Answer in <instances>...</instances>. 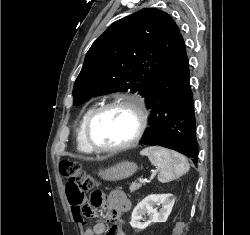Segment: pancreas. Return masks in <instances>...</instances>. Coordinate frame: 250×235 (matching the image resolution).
I'll return each mask as SVG.
<instances>
[{
  "label": "pancreas",
  "instance_id": "cf45deb5",
  "mask_svg": "<svg viewBox=\"0 0 250 235\" xmlns=\"http://www.w3.org/2000/svg\"><path fill=\"white\" fill-rule=\"evenodd\" d=\"M141 186H142V184H139V183H136V182L132 183L130 185V188H129L130 192L133 193L134 191L138 190Z\"/></svg>",
  "mask_w": 250,
  "mask_h": 235
}]
</instances>
